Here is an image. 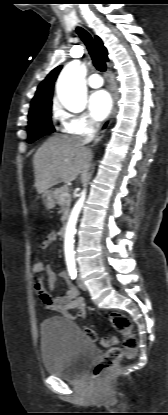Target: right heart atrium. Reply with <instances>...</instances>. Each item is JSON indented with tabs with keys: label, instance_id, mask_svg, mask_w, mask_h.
Returning <instances> with one entry per match:
<instances>
[{
	"label": "right heart atrium",
	"instance_id": "d8ad5b80",
	"mask_svg": "<svg viewBox=\"0 0 168 415\" xmlns=\"http://www.w3.org/2000/svg\"><path fill=\"white\" fill-rule=\"evenodd\" d=\"M55 116L65 133L87 136L95 133L98 127L87 113H71L56 106Z\"/></svg>",
	"mask_w": 168,
	"mask_h": 415
}]
</instances>
